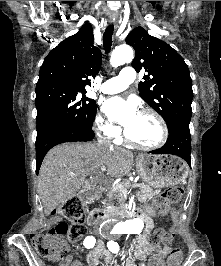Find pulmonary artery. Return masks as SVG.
<instances>
[{
	"instance_id": "e3ab8cb5",
	"label": "pulmonary artery",
	"mask_w": 221,
	"mask_h": 266,
	"mask_svg": "<svg viewBox=\"0 0 221 266\" xmlns=\"http://www.w3.org/2000/svg\"><path fill=\"white\" fill-rule=\"evenodd\" d=\"M135 79L132 67H124L117 77L106 80L100 90L105 94H115L124 91Z\"/></svg>"
}]
</instances>
